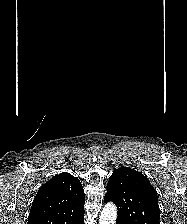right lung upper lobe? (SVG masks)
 I'll list each match as a JSON object with an SVG mask.
<instances>
[{"label": "right lung upper lobe", "instance_id": "right-lung-upper-lobe-1", "mask_svg": "<svg viewBox=\"0 0 187 224\" xmlns=\"http://www.w3.org/2000/svg\"><path fill=\"white\" fill-rule=\"evenodd\" d=\"M84 203L80 181L69 173H61L38 190L28 224H70L84 216Z\"/></svg>", "mask_w": 187, "mask_h": 224}]
</instances>
